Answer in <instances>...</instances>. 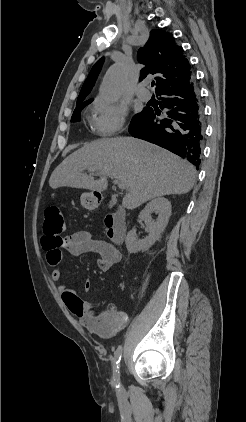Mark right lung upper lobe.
<instances>
[{"instance_id":"1","label":"right lung upper lobe","mask_w":246,"mask_h":422,"mask_svg":"<svg viewBox=\"0 0 246 422\" xmlns=\"http://www.w3.org/2000/svg\"><path fill=\"white\" fill-rule=\"evenodd\" d=\"M137 59L144 64L140 73L142 80L148 75H155L156 93L163 88L175 85L193 76L188 60L183 56V49L175 43L171 33L153 29L147 43L139 49ZM103 58L92 67L77 99L76 107L93 99L85 100L93 88L101 70Z\"/></svg>"}]
</instances>
